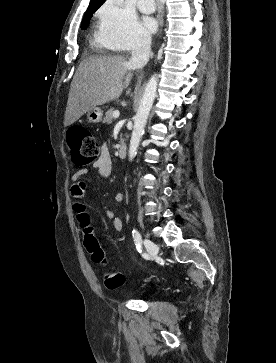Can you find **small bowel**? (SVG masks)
I'll use <instances>...</instances> for the list:
<instances>
[{"instance_id": "1", "label": "small bowel", "mask_w": 276, "mask_h": 363, "mask_svg": "<svg viewBox=\"0 0 276 363\" xmlns=\"http://www.w3.org/2000/svg\"><path fill=\"white\" fill-rule=\"evenodd\" d=\"M93 168L97 169L99 174L102 177H109L113 171V163L111 159V154L106 145H103L101 148V153L98 159L94 162ZM89 172L88 168H84L78 170L72 176V185L70 187V196L75 202V212L78 214V217L81 222V217L83 215L87 216V225L82 226V234L85 238L87 234L94 233V228L90 225L88 221V214L86 213V207L84 204V199L86 196L88 184L85 179L86 174ZM114 200L116 203H121L124 201V195L122 193H117L114 196ZM104 214L107 218L113 221V227L117 231H121L123 229V221L121 218L112 210L108 209L107 207H102Z\"/></svg>"}]
</instances>
